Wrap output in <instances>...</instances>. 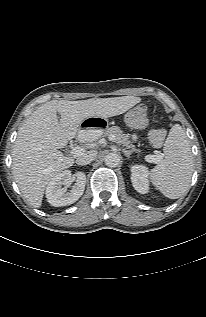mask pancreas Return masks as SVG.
<instances>
[{
    "instance_id": "1",
    "label": "pancreas",
    "mask_w": 206,
    "mask_h": 317,
    "mask_svg": "<svg viewBox=\"0 0 206 317\" xmlns=\"http://www.w3.org/2000/svg\"><path fill=\"white\" fill-rule=\"evenodd\" d=\"M103 134L106 136L113 135L115 137L114 141L117 144L122 145L126 148H131L132 149L131 151H133V152L136 151L134 145L129 140V137H130L129 134H124L123 131L118 126H115V128H112L110 130V132H104ZM96 138H97V136L95 138H91L90 140H87V141H92Z\"/></svg>"
}]
</instances>
